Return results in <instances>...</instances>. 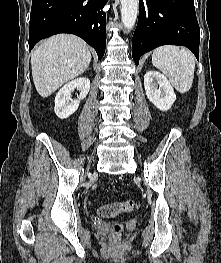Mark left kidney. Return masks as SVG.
<instances>
[{
  "instance_id": "left-kidney-1",
  "label": "left kidney",
  "mask_w": 221,
  "mask_h": 263,
  "mask_svg": "<svg viewBox=\"0 0 221 263\" xmlns=\"http://www.w3.org/2000/svg\"><path fill=\"white\" fill-rule=\"evenodd\" d=\"M147 98L159 110L167 111L176 100V94L167 78L157 71H148L144 76Z\"/></svg>"
}]
</instances>
